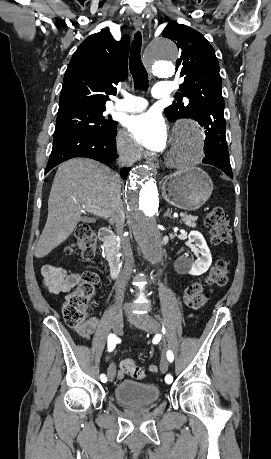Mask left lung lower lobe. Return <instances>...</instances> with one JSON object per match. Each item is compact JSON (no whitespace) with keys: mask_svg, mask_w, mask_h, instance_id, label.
<instances>
[{"mask_svg":"<svg viewBox=\"0 0 271 459\" xmlns=\"http://www.w3.org/2000/svg\"><path fill=\"white\" fill-rule=\"evenodd\" d=\"M199 125L206 135L203 163L212 164L233 178L225 136V119L221 117L207 119L199 122Z\"/></svg>","mask_w":271,"mask_h":459,"instance_id":"left-lung-lower-lobe-1","label":"left lung lower lobe"}]
</instances>
